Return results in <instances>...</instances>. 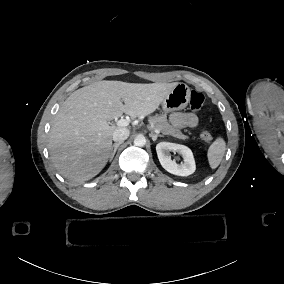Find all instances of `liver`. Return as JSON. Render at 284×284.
<instances>
[{
  "label": "liver",
  "instance_id": "6515ba94",
  "mask_svg": "<svg viewBox=\"0 0 284 284\" xmlns=\"http://www.w3.org/2000/svg\"><path fill=\"white\" fill-rule=\"evenodd\" d=\"M178 84L99 81L73 92L54 118L48 148L61 175L86 181L97 175L111 155L116 129L108 121L153 113ZM124 102V104H123Z\"/></svg>",
  "mask_w": 284,
  "mask_h": 284
}]
</instances>
